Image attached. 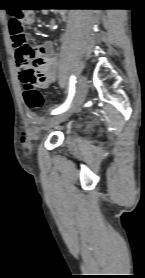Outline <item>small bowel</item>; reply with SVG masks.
<instances>
[{"mask_svg": "<svg viewBox=\"0 0 145 278\" xmlns=\"http://www.w3.org/2000/svg\"><path fill=\"white\" fill-rule=\"evenodd\" d=\"M31 22H33V18ZM11 40L16 67L20 73L21 78L28 69L37 63L40 70L44 74L42 88H49L57 80V60L53 55V43L50 41H45L34 47L29 46L32 49V55H26L25 53L18 54L17 50L19 47L14 42L12 36ZM29 116L32 121L36 120L33 114H29Z\"/></svg>", "mask_w": 145, "mask_h": 278, "instance_id": "small-bowel-1", "label": "small bowel"}]
</instances>
